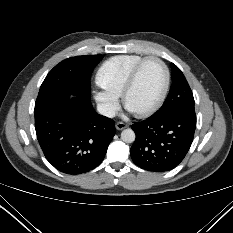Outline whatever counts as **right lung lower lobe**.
I'll return each mask as SVG.
<instances>
[{
	"label": "right lung lower lobe",
	"mask_w": 233,
	"mask_h": 233,
	"mask_svg": "<svg viewBox=\"0 0 233 233\" xmlns=\"http://www.w3.org/2000/svg\"><path fill=\"white\" fill-rule=\"evenodd\" d=\"M35 130L46 159L66 174L86 173L104 159L115 124L90 99L52 97L35 105Z\"/></svg>",
	"instance_id": "obj_1"
}]
</instances>
